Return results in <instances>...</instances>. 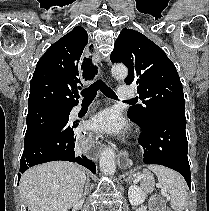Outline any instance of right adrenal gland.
Masks as SVG:
<instances>
[{
    "label": "right adrenal gland",
    "instance_id": "1",
    "mask_svg": "<svg viewBox=\"0 0 209 211\" xmlns=\"http://www.w3.org/2000/svg\"><path fill=\"white\" fill-rule=\"evenodd\" d=\"M89 187H90V179L87 177V179H86V185H85V191H84V196L87 195L88 190H89Z\"/></svg>",
    "mask_w": 209,
    "mask_h": 211
}]
</instances>
